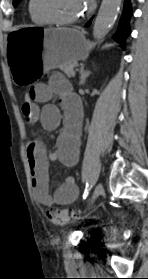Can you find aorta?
Instances as JSON below:
<instances>
[{
  "label": "aorta",
  "instance_id": "762f6f07",
  "mask_svg": "<svg viewBox=\"0 0 148 279\" xmlns=\"http://www.w3.org/2000/svg\"><path fill=\"white\" fill-rule=\"evenodd\" d=\"M122 0H102L95 23L93 26V36L95 39H103L113 27Z\"/></svg>",
  "mask_w": 148,
  "mask_h": 279
}]
</instances>
